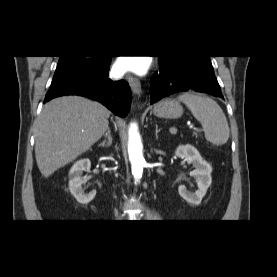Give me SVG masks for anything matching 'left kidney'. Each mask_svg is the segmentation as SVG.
Listing matches in <instances>:
<instances>
[{"label":"left kidney","instance_id":"5707ae66","mask_svg":"<svg viewBox=\"0 0 277 277\" xmlns=\"http://www.w3.org/2000/svg\"><path fill=\"white\" fill-rule=\"evenodd\" d=\"M175 157L184 158L189 164H193L195 170L191 172V175L196 179L198 186L197 191L190 192L184 185H180L178 187L180 196L191 204H200L212 182L211 165L206 162L201 157L198 150L190 144L178 146L175 151Z\"/></svg>","mask_w":277,"mask_h":277}]
</instances>
